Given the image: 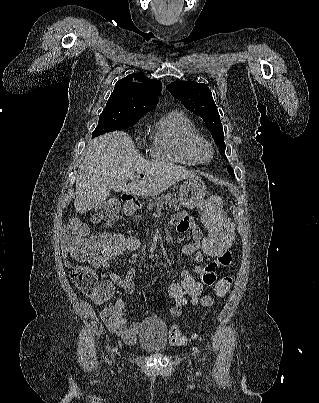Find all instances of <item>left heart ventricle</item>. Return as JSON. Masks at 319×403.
<instances>
[{
  "mask_svg": "<svg viewBox=\"0 0 319 403\" xmlns=\"http://www.w3.org/2000/svg\"><path fill=\"white\" fill-rule=\"evenodd\" d=\"M202 157H203L204 159H208V158H209L208 150L205 149V148L202 149Z\"/></svg>",
  "mask_w": 319,
  "mask_h": 403,
  "instance_id": "obj_1",
  "label": "left heart ventricle"
}]
</instances>
